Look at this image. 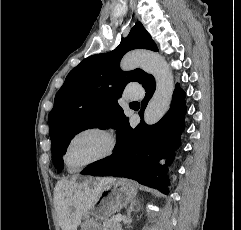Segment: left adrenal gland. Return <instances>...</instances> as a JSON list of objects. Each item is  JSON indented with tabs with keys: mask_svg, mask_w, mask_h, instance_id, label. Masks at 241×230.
I'll return each mask as SVG.
<instances>
[{
	"mask_svg": "<svg viewBox=\"0 0 241 230\" xmlns=\"http://www.w3.org/2000/svg\"><path fill=\"white\" fill-rule=\"evenodd\" d=\"M136 203H137V201L134 200V201L130 204V206H129L128 210H127V218H126V220H125V223H126L127 225H130L131 222H132L131 212H132V211H138V210H139V207H138L137 209H134V205H135Z\"/></svg>",
	"mask_w": 241,
	"mask_h": 230,
	"instance_id": "left-adrenal-gland-1",
	"label": "left adrenal gland"
}]
</instances>
